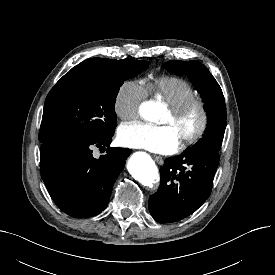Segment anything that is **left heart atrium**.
<instances>
[{
  "label": "left heart atrium",
  "instance_id": "obj_1",
  "mask_svg": "<svg viewBox=\"0 0 275 275\" xmlns=\"http://www.w3.org/2000/svg\"><path fill=\"white\" fill-rule=\"evenodd\" d=\"M118 141L126 147L143 148L157 153H172L179 146V140L170 126L139 121L121 125Z\"/></svg>",
  "mask_w": 275,
  "mask_h": 275
}]
</instances>
